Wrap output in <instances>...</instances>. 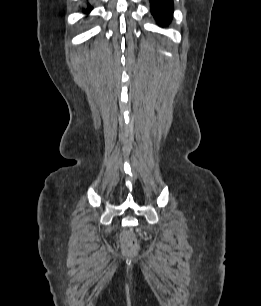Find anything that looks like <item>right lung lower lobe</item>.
Listing matches in <instances>:
<instances>
[{
  "label": "right lung lower lobe",
  "mask_w": 261,
  "mask_h": 306,
  "mask_svg": "<svg viewBox=\"0 0 261 306\" xmlns=\"http://www.w3.org/2000/svg\"><path fill=\"white\" fill-rule=\"evenodd\" d=\"M92 7L88 6V8L86 9V13H89L91 11Z\"/></svg>",
  "instance_id": "1"
}]
</instances>
